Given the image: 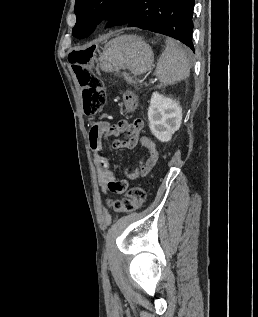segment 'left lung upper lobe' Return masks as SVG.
Listing matches in <instances>:
<instances>
[{"instance_id": "obj_1", "label": "left lung upper lobe", "mask_w": 258, "mask_h": 317, "mask_svg": "<svg viewBox=\"0 0 258 317\" xmlns=\"http://www.w3.org/2000/svg\"><path fill=\"white\" fill-rule=\"evenodd\" d=\"M138 0H76L77 22L72 30L76 38L90 35L103 20H110L108 27L128 23Z\"/></svg>"}]
</instances>
